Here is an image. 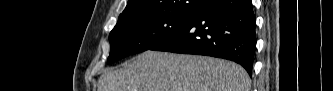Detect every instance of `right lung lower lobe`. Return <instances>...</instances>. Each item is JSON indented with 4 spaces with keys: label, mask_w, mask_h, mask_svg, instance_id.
Returning a JSON list of instances; mask_svg holds the SVG:
<instances>
[{
    "label": "right lung lower lobe",
    "mask_w": 333,
    "mask_h": 91,
    "mask_svg": "<svg viewBox=\"0 0 333 91\" xmlns=\"http://www.w3.org/2000/svg\"><path fill=\"white\" fill-rule=\"evenodd\" d=\"M256 18L251 0H213L184 27L150 50L219 57L252 75Z\"/></svg>",
    "instance_id": "right-lung-lower-lobe-1"
}]
</instances>
